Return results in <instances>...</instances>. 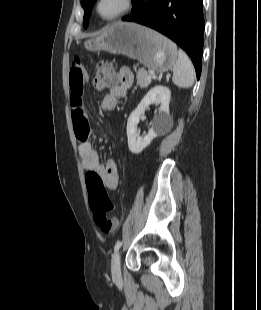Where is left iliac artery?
<instances>
[{
	"instance_id": "obj_1",
	"label": "left iliac artery",
	"mask_w": 261,
	"mask_h": 310,
	"mask_svg": "<svg viewBox=\"0 0 261 310\" xmlns=\"http://www.w3.org/2000/svg\"><path fill=\"white\" fill-rule=\"evenodd\" d=\"M122 245L121 241H117V243L115 244L114 250L117 251Z\"/></svg>"
}]
</instances>
